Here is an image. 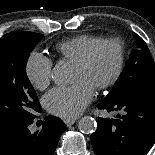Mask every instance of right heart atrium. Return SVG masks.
Listing matches in <instances>:
<instances>
[{
	"instance_id": "1",
	"label": "right heart atrium",
	"mask_w": 155,
	"mask_h": 155,
	"mask_svg": "<svg viewBox=\"0 0 155 155\" xmlns=\"http://www.w3.org/2000/svg\"><path fill=\"white\" fill-rule=\"evenodd\" d=\"M53 62L42 53L33 51L27 58L25 73L32 84L38 90H44L52 79Z\"/></svg>"
}]
</instances>
